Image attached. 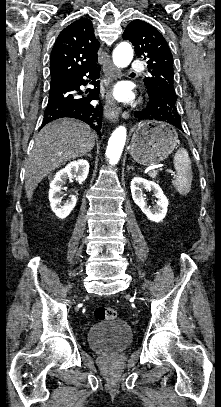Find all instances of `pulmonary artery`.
I'll return each mask as SVG.
<instances>
[{
	"mask_svg": "<svg viewBox=\"0 0 221 407\" xmlns=\"http://www.w3.org/2000/svg\"><path fill=\"white\" fill-rule=\"evenodd\" d=\"M131 70H132L133 72L140 73V72L143 71V64H142L140 61H136V62H134V63L132 64Z\"/></svg>",
	"mask_w": 221,
	"mask_h": 407,
	"instance_id": "obj_1",
	"label": "pulmonary artery"
}]
</instances>
